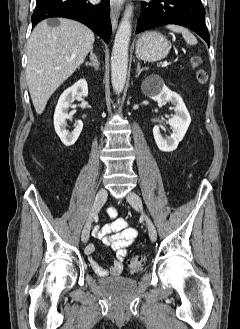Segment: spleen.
I'll use <instances>...</instances> for the list:
<instances>
[{"mask_svg": "<svg viewBox=\"0 0 240 329\" xmlns=\"http://www.w3.org/2000/svg\"><path fill=\"white\" fill-rule=\"evenodd\" d=\"M166 28L170 29L173 32L181 33L188 45L197 44L196 37L192 33H190V31H188L186 28L178 25H167Z\"/></svg>", "mask_w": 240, "mask_h": 329, "instance_id": "obj_1", "label": "spleen"}]
</instances>
